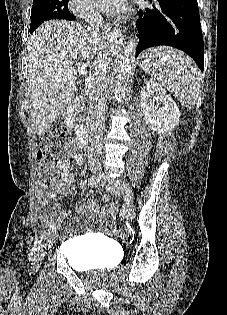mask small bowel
<instances>
[{
    "instance_id": "1",
    "label": "small bowel",
    "mask_w": 227,
    "mask_h": 315,
    "mask_svg": "<svg viewBox=\"0 0 227 315\" xmlns=\"http://www.w3.org/2000/svg\"><path fill=\"white\" fill-rule=\"evenodd\" d=\"M70 157H72L76 166H82L84 160L83 152L81 148L73 144L69 147L66 155L58 159L57 175L50 182V190H46V185L44 183H36V197L44 210L42 219L47 224L53 222L61 213V206L51 202V200L55 199L60 194L66 196L72 195V191L68 188L74 180V175L69 170ZM115 211L116 208L113 204H108L102 207L100 203L95 200H89L77 208L78 213L97 217L103 222L111 219L114 216ZM60 221L61 219L59 217L56 222L59 223Z\"/></svg>"
}]
</instances>
